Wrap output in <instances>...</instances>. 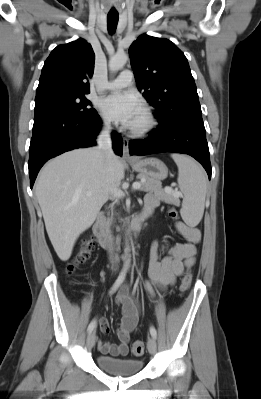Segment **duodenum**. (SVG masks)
Wrapping results in <instances>:
<instances>
[{"instance_id":"obj_1","label":"duodenum","mask_w":261,"mask_h":399,"mask_svg":"<svg viewBox=\"0 0 261 399\" xmlns=\"http://www.w3.org/2000/svg\"><path fill=\"white\" fill-rule=\"evenodd\" d=\"M152 214V210L144 209L137 214L129 225V232L136 234L143 226L144 222ZM93 233L101 247L107 248L111 243V235L107 229L106 221L103 215H100L93 225Z\"/></svg>"}]
</instances>
